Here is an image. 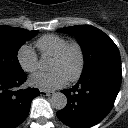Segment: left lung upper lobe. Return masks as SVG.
I'll list each match as a JSON object with an SVG mask.
<instances>
[{
	"instance_id": "5c2ea615",
	"label": "left lung upper lobe",
	"mask_w": 128,
	"mask_h": 128,
	"mask_svg": "<svg viewBox=\"0 0 128 128\" xmlns=\"http://www.w3.org/2000/svg\"><path fill=\"white\" fill-rule=\"evenodd\" d=\"M58 31L74 35L80 44L84 55L82 75L103 62L121 63L117 46L108 35L98 28L91 25H77L65 27Z\"/></svg>"
}]
</instances>
